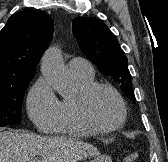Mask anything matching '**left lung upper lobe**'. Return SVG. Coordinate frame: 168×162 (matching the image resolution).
Returning <instances> with one entry per match:
<instances>
[{
  "mask_svg": "<svg viewBox=\"0 0 168 162\" xmlns=\"http://www.w3.org/2000/svg\"><path fill=\"white\" fill-rule=\"evenodd\" d=\"M72 28L83 53L104 75L119 82L125 95L135 103L127 57L116 36L103 22L94 18L77 17L72 22Z\"/></svg>",
  "mask_w": 168,
  "mask_h": 162,
  "instance_id": "1",
  "label": "left lung upper lobe"
}]
</instances>
